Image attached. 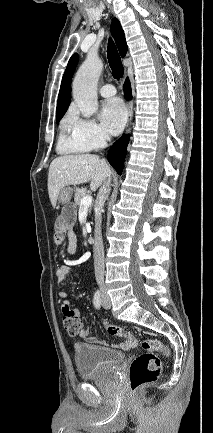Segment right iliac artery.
Segmentation results:
<instances>
[{
    "mask_svg": "<svg viewBox=\"0 0 213 433\" xmlns=\"http://www.w3.org/2000/svg\"><path fill=\"white\" fill-rule=\"evenodd\" d=\"M93 304H94L95 308H97V309H99L101 307L102 299H101V293L99 290H97L94 294Z\"/></svg>",
    "mask_w": 213,
    "mask_h": 433,
    "instance_id": "obj_1",
    "label": "right iliac artery"
}]
</instances>
